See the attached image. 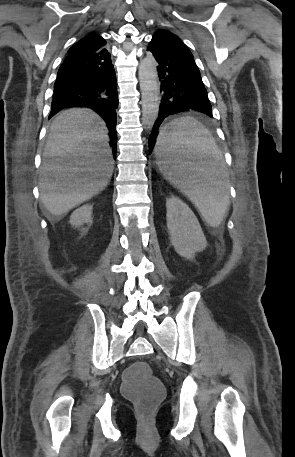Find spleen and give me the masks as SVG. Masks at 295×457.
Masks as SVG:
<instances>
[{
	"label": "spleen",
	"mask_w": 295,
	"mask_h": 457,
	"mask_svg": "<svg viewBox=\"0 0 295 457\" xmlns=\"http://www.w3.org/2000/svg\"><path fill=\"white\" fill-rule=\"evenodd\" d=\"M156 158L166 179L185 194L211 227L229 204V177L211 133L196 119L180 117L159 133Z\"/></svg>",
	"instance_id": "obj_1"
}]
</instances>
